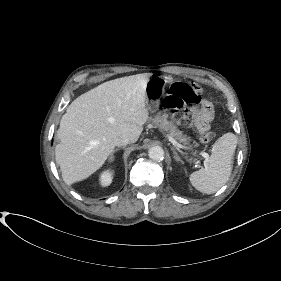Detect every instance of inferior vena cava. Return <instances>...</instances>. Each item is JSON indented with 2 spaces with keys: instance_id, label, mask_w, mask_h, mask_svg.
I'll list each match as a JSON object with an SVG mask.
<instances>
[{
  "instance_id": "1",
  "label": "inferior vena cava",
  "mask_w": 281,
  "mask_h": 281,
  "mask_svg": "<svg viewBox=\"0 0 281 281\" xmlns=\"http://www.w3.org/2000/svg\"><path fill=\"white\" fill-rule=\"evenodd\" d=\"M115 146H125L130 143V138L126 135H120L113 140Z\"/></svg>"
}]
</instances>
